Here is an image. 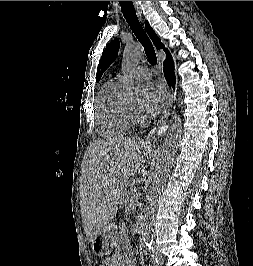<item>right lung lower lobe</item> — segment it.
<instances>
[{
	"label": "right lung lower lobe",
	"mask_w": 253,
	"mask_h": 266,
	"mask_svg": "<svg viewBox=\"0 0 253 266\" xmlns=\"http://www.w3.org/2000/svg\"><path fill=\"white\" fill-rule=\"evenodd\" d=\"M164 75L167 82L175 88L174 64L171 55L164 61Z\"/></svg>",
	"instance_id": "98d812e1"
}]
</instances>
